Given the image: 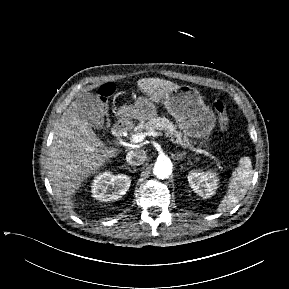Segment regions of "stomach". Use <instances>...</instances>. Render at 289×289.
I'll return each instance as SVG.
<instances>
[{"mask_svg": "<svg viewBox=\"0 0 289 289\" xmlns=\"http://www.w3.org/2000/svg\"><path fill=\"white\" fill-rule=\"evenodd\" d=\"M154 102L156 101L139 97L134 104L123 106L119 110V115L123 120L129 118L149 120L156 115ZM158 102L165 105L168 113L175 118L186 136L207 141L215 126L216 118L196 88L181 85L165 93Z\"/></svg>", "mask_w": 289, "mask_h": 289, "instance_id": "stomach-1", "label": "stomach"}]
</instances>
